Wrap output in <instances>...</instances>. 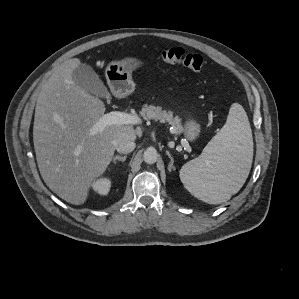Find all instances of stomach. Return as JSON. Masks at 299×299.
I'll return each instance as SVG.
<instances>
[{
  "instance_id": "stomach-1",
  "label": "stomach",
  "mask_w": 299,
  "mask_h": 299,
  "mask_svg": "<svg viewBox=\"0 0 299 299\" xmlns=\"http://www.w3.org/2000/svg\"><path fill=\"white\" fill-rule=\"evenodd\" d=\"M143 65L144 62L136 57H126L108 64L105 77L112 93L119 97L131 94L135 88L132 72ZM183 131L189 141H195L200 134V125L195 120L188 119Z\"/></svg>"
}]
</instances>
